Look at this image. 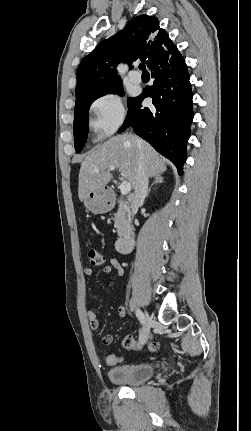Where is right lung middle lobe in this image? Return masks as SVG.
<instances>
[{"mask_svg":"<svg viewBox=\"0 0 251 431\" xmlns=\"http://www.w3.org/2000/svg\"><path fill=\"white\" fill-rule=\"evenodd\" d=\"M107 93L123 94L122 84L117 83L107 88L94 91L85 95L76 97V104L74 109V145L77 153H79L87 139L88 134V111L90 105L97 98L104 96ZM131 98L128 99V101Z\"/></svg>","mask_w":251,"mask_h":431,"instance_id":"obj_1","label":"right lung middle lobe"}]
</instances>
